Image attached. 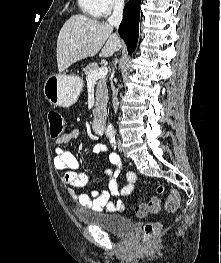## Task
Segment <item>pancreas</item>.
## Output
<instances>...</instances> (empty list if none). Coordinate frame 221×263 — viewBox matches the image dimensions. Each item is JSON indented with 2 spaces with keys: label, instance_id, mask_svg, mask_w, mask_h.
Here are the masks:
<instances>
[{
  "label": "pancreas",
  "instance_id": "cf45deb5",
  "mask_svg": "<svg viewBox=\"0 0 221 263\" xmlns=\"http://www.w3.org/2000/svg\"><path fill=\"white\" fill-rule=\"evenodd\" d=\"M99 66L97 63H90L87 65L83 72L85 76L88 78L89 74L92 71L98 70ZM107 79L105 77H102L98 79L97 86H96V100H95V109L93 110V115L98 116L101 112L104 111L106 108V104L108 101V89L106 84Z\"/></svg>",
  "mask_w": 221,
  "mask_h": 263
}]
</instances>
